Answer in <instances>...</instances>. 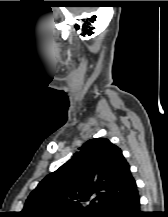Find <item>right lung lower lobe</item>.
<instances>
[{
	"mask_svg": "<svg viewBox=\"0 0 168 217\" xmlns=\"http://www.w3.org/2000/svg\"><path fill=\"white\" fill-rule=\"evenodd\" d=\"M140 211V197L136 189L130 195L105 205L95 217H144Z\"/></svg>",
	"mask_w": 168,
	"mask_h": 217,
	"instance_id": "right-lung-lower-lobe-1",
	"label": "right lung lower lobe"
}]
</instances>
